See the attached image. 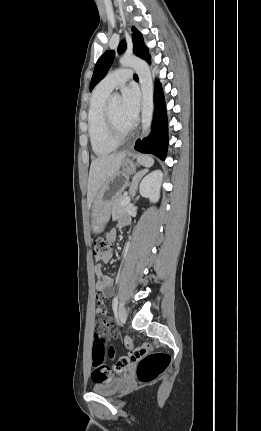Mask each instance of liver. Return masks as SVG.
Returning a JSON list of instances; mask_svg holds the SVG:
<instances>
[{"label":"liver","mask_w":261,"mask_h":431,"mask_svg":"<svg viewBox=\"0 0 261 431\" xmlns=\"http://www.w3.org/2000/svg\"><path fill=\"white\" fill-rule=\"evenodd\" d=\"M125 156L126 153L121 152L100 156L92 161L87 189V203L89 208L102 186L119 172Z\"/></svg>","instance_id":"liver-1"}]
</instances>
